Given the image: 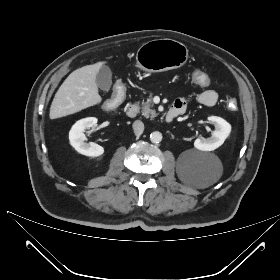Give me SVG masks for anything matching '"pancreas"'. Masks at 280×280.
I'll return each mask as SVG.
<instances>
[{
	"label": "pancreas",
	"mask_w": 280,
	"mask_h": 280,
	"mask_svg": "<svg viewBox=\"0 0 280 280\" xmlns=\"http://www.w3.org/2000/svg\"><path fill=\"white\" fill-rule=\"evenodd\" d=\"M154 104L152 103V95L147 99V101H143L141 104V113L146 118L153 119L157 116L155 109H153Z\"/></svg>",
	"instance_id": "obj_1"
}]
</instances>
